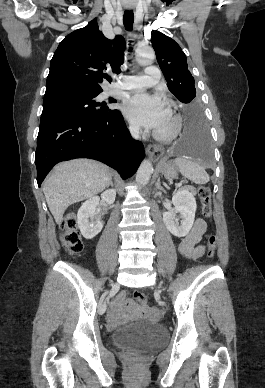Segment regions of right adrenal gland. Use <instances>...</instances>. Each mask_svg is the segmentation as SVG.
Here are the masks:
<instances>
[{
	"instance_id": "1",
	"label": "right adrenal gland",
	"mask_w": 265,
	"mask_h": 388,
	"mask_svg": "<svg viewBox=\"0 0 265 388\" xmlns=\"http://www.w3.org/2000/svg\"><path fill=\"white\" fill-rule=\"evenodd\" d=\"M110 186H112V188H113V182H111Z\"/></svg>"
}]
</instances>
